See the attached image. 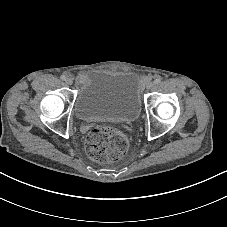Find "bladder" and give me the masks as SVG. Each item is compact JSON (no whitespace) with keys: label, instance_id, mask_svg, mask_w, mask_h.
Returning a JSON list of instances; mask_svg holds the SVG:
<instances>
[{"label":"bladder","instance_id":"31cf9c89","mask_svg":"<svg viewBox=\"0 0 227 227\" xmlns=\"http://www.w3.org/2000/svg\"><path fill=\"white\" fill-rule=\"evenodd\" d=\"M73 111L81 121L105 118L135 122L142 112L137 75L133 72L91 73L75 99Z\"/></svg>","mask_w":227,"mask_h":227}]
</instances>
